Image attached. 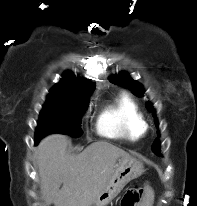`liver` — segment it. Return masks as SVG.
<instances>
[{
	"instance_id": "liver-1",
	"label": "liver",
	"mask_w": 197,
	"mask_h": 206,
	"mask_svg": "<svg viewBox=\"0 0 197 206\" xmlns=\"http://www.w3.org/2000/svg\"><path fill=\"white\" fill-rule=\"evenodd\" d=\"M67 145L66 136L53 134L37 147L43 200L55 206H90L115 171L117 160L129 155L105 141L92 143L78 155L67 154Z\"/></svg>"
}]
</instances>
